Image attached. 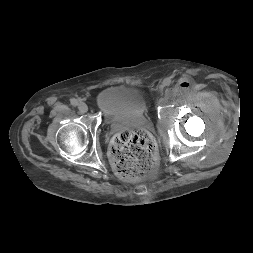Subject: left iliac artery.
Returning a JSON list of instances; mask_svg holds the SVG:
<instances>
[{"instance_id": "left-iliac-artery-1", "label": "left iliac artery", "mask_w": 253, "mask_h": 253, "mask_svg": "<svg viewBox=\"0 0 253 253\" xmlns=\"http://www.w3.org/2000/svg\"><path fill=\"white\" fill-rule=\"evenodd\" d=\"M164 86H169L171 84V79L170 78H165L163 81Z\"/></svg>"}]
</instances>
